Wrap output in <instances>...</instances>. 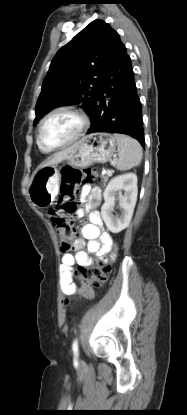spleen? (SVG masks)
<instances>
[{
  "label": "spleen",
  "instance_id": "spleen-1",
  "mask_svg": "<svg viewBox=\"0 0 187 415\" xmlns=\"http://www.w3.org/2000/svg\"><path fill=\"white\" fill-rule=\"evenodd\" d=\"M117 141L118 158L114 161L115 167L120 170H129L140 165L143 152L140 143L127 135L114 134Z\"/></svg>",
  "mask_w": 187,
  "mask_h": 415
}]
</instances>
